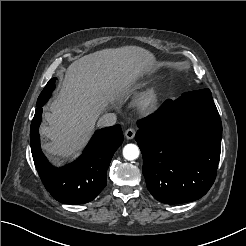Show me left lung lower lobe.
Returning <instances> with one entry per match:
<instances>
[{"instance_id":"1","label":"left lung lower lobe","mask_w":246,"mask_h":246,"mask_svg":"<svg viewBox=\"0 0 246 246\" xmlns=\"http://www.w3.org/2000/svg\"><path fill=\"white\" fill-rule=\"evenodd\" d=\"M150 193L165 204L195 201L211 188L220 159L222 124L209 89L166 100L137 123Z\"/></svg>"}]
</instances>
